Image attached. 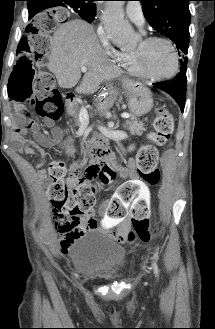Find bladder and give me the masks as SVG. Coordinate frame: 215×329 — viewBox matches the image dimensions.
<instances>
[{
  "label": "bladder",
  "mask_w": 215,
  "mask_h": 329,
  "mask_svg": "<svg viewBox=\"0 0 215 329\" xmlns=\"http://www.w3.org/2000/svg\"><path fill=\"white\" fill-rule=\"evenodd\" d=\"M71 255L82 275L102 282L121 278L128 261L126 248L122 244L97 231L77 238L71 246Z\"/></svg>",
  "instance_id": "obj_1"
}]
</instances>
